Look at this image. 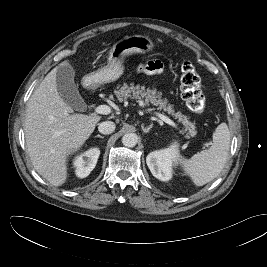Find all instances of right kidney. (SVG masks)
I'll use <instances>...</instances> for the list:
<instances>
[{"mask_svg":"<svg viewBox=\"0 0 267 267\" xmlns=\"http://www.w3.org/2000/svg\"><path fill=\"white\" fill-rule=\"evenodd\" d=\"M99 155L100 150L98 148H92L77 157L74 162L77 177H87L90 172L95 168Z\"/></svg>","mask_w":267,"mask_h":267,"instance_id":"obj_1","label":"right kidney"}]
</instances>
